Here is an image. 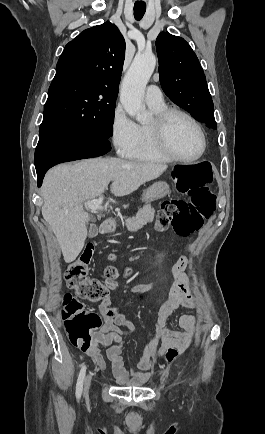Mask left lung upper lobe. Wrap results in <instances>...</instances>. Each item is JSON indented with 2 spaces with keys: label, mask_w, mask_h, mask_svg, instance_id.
<instances>
[{
  "label": "left lung upper lobe",
  "mask_w": 265,
  "mask_h": 434,
  "mask_svg": "<svg viewBox=\"0 0 265 434\" xmlns=\"http://www.w3.org/2000/svg\"><path fill=\"white\" fill-rule=\"evenodd\" d=\"M156 48L165 94L196 120L217 129L206 78L190 45L183 38L162 32L156 39Z\"/></svg>",
  "instance_id": "left-lung-upper-lobe-1"
}]
</instances>
